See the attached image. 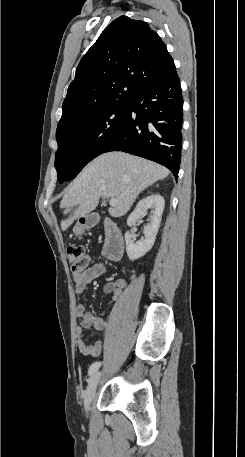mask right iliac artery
Segmentation results:
<instances>
[{
    "label": "right iliac artery",
    "instance_id": "right-iliac-artery-1",
    "mask_svg": "<svg viewBox=\"0 0 245 457\" xmlns=\"http://www.w3.org/2000/svg\"><path fill=\"white\" fill-rule=\"evenodd\" d=\"M100 365H101V362H94L89 368V371H88L89 375L91 376L93 373H95L98 370V368L100 367Z\"/></svg>",
    "mask_w": 245,
    "mask_h": 457
}]
</instances>
